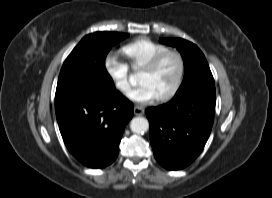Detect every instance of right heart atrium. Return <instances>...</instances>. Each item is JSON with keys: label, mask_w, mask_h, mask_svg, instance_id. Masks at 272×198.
<instances>
[{"label": "right heart atrium", "mask_w": 272, "mask_h": 198, "mask_svg": "<svg viewBox=\"0 0 272 198\" xmlns=\"http://www.w3.org/2000/svg\"><path fill=\"white\" fill-rule=\"evenodd\" d=\"M103 65L117 90L122 93L127 92L130 87L129 65L114 53L105 56Z\"/></svg>", "instance_id": "d8ad5b80"}]
</instances>
